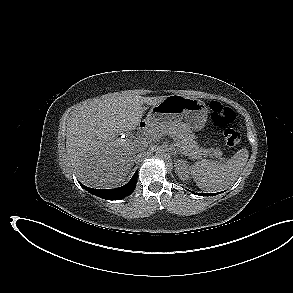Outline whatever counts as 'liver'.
<instances>
[{
  "mask_svg": "<svg viewBox=\"0 0 293 293\" xmlns=\"http://www.w3.org/2000/svg\"><path fill=\"white\" fill-rule=\"evenodd\" d=\"M166 97L109 93L76 108L67 120L66 152L79 179L93 187L123 183L131 169L135 144L150 141L119 135L136 129L145 111L143 104L153 106Z\"/></svg>",
  "mask_w": 293,
  "mask_h": 293,
  "instance_id": "1",
  "label": "liver"
}]
</instances>
